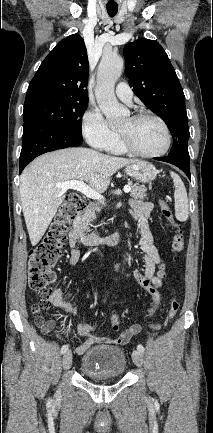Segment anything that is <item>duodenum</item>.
<instances>
[{
  "instance_id": "duodenum-1",
  "label": "duodenum",
  "mask_w": 213,
  "mask_h": 433,
  "mask_svg": "<svg viewBox=\"0 0 213 433\" xmlns=\"http://www.w3.org/2000/svg\"><path fill=\"white\" fill-rule=\"evenodd\" d=\"M80 212L73 220V230L76 232L78 239L82 242V244H84L85 246H95L100 244L115 245L120 242L121 235L117 232L108 236H102L97 233L89 234L85 232L81 223V219L79 215Z\"/></svg>"
}]
</instances>
